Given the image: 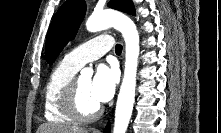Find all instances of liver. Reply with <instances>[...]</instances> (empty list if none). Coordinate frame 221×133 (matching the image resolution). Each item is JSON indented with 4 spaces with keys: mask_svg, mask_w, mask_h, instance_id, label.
<instances>
[{
    "mask_svg": "<svg viewBox=\"0 0 221 133\" xmlns=\"http://www.w3.org/2000/svg\"><path fill=\"white\" fill-rule=\"evenodd\" d=\"M37 133H88V130L79 127L43 124L38 128Z\"/></svg>",
    "mask_w": 221,
    "mask_h": 133,
    "instance_id": "6515ba94",
    "label": "liver"
}]
</instances>
